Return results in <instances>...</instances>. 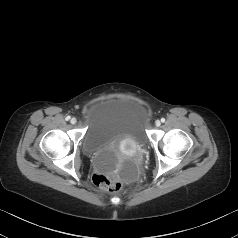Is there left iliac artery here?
Segmentation results:
<instances>
[{
    "mask_svg": "<svg viewBox=\"0 0 238 238\" xmlns=\"http://www.w3.org/2000/svg\"><path fill=\"white\" fill-rule=\"evenodd\" d=\"M161 122H163V123H164V122H165V118H162V119H161Z\"/></svg>",
    "mask_w": 238,
    "mask_h": 238,
    "instance_id": "left-iliac-artery-1",
    "label": "left iliac artery"
}]
</instances>
